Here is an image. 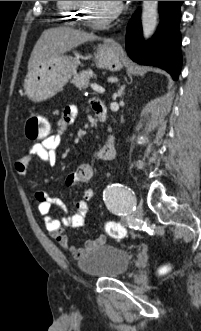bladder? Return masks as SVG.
<instances>
[{
  "mask_svg": "<svg viewBox=\"0 0 201 331\" xmlns=\"http://www.w3.org/2000/svg\"><path fill=\"white\" fill-rule=\"evenodd\" d=\"M131 256L120 247L104 243L89 251L78 261V268L88 277L113 278L123 276L129 269Z\"/></svg>",
  "mask_w": 201,
  "mask_h": 331,
  "instance_id": "1",
  "label": "bladder"
}]
</instances>
